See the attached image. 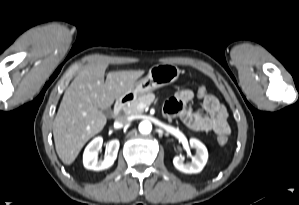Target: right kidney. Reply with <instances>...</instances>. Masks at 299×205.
<instances>
[{"mask_svg": "<svg viewBox=\"0 0 299 205\" xmlns=\"http://www.w3.org/2000/svg\"><path fill=\"white\" fill-rule=\"evenodd\" d=\"M103 144L102 137L94 138L85 148L83 153V165L86 169L100 171L111 167L117 158L119 140L114 139L106 145V155L103 160H98V153Z\"/></svg>", "mask_w": 299, "mask_h": 205, "instance_id": "ca27d5eb", "label": "right kidney"}]
</instances>
